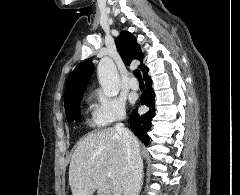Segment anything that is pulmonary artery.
<instances>
[{
	"instance_id": "1",
	"label": "pulmonary artery",
	"mask_w": 240,
	"mask_h": 195,
	"mask_svg": "<svg viewBox=\"0 0 240 195\" xmlns=\"http://www.w3.org/2000/svg\"><path fill=\"white\" fill-rule=\"evenodd\" d=\"M129 86L133 90H138L140 88V85L137 80L135 79H130L129 80Z\"/></svg>"
}]
</instances>
